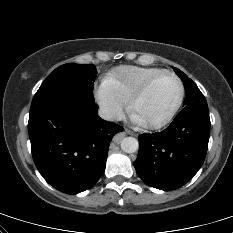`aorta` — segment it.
I'll return each mask as SVG.
<instances>
[{
	"label": "aorta",
	"mask_w": 233,
	"mask_h": 233,
	"mask_svg": "<svg viewBox=\"0 0 233 233\" xmlns=\"http://www.w3.org/2000/svg\"><path fill=\"white\" fill-rule=\"evenodd\" d=\"M121 149L126 153H134L139 148L138 140L134 137H125L121 141Z\"/></svg>",
	"instance_id": "obj_1"
}]
</instances>
